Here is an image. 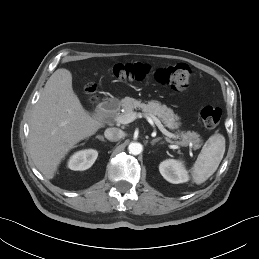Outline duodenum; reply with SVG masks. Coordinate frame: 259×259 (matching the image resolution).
<instances>
[{
	"label": "duodenum",
	"mask_w": 259,
	"mask_h": 259,
	"mask_svg": "<svg viewBox=\"0 0 259 259\" xmlns=\"http://www.w3.org/2000/svg\"><path fill=\"white\" fill-rule=\"evenodd\" d=\"M119 107V103L115 100H107L100 104L99 112L103 115L113 114Z\"/></svg>",
	"instance_id": "410a0bca"
}]
</instances>
